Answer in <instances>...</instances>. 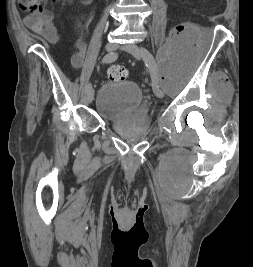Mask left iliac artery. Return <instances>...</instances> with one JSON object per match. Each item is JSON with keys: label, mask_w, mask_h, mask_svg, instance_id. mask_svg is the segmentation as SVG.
Instances as JSON below:
<instances>
[{"label": "left iliac artery", "mask_w": 253, "mask_h": 267, "mask_svg": "<svg viewBox=\"0 0 253 267\" xmlns=\"http://www.w3.org/2000/svg\"><path fill=\"white\" fill-rule=\"evenodd\" d=\"M141 50L144 52V61L146 63V66L150 69L151 72V78H152V82L154 86H158V75H157V71H156V62L153 58V56H148V50L145 48H141ZM147 52V53H146Z\"/></svg>", "instance_id": "44dca946"}]
</instances>
